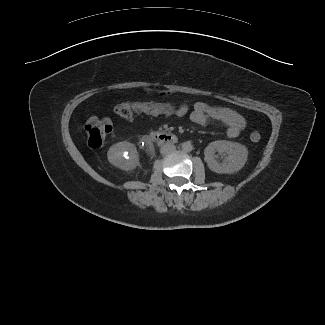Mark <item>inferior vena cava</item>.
<instances>
[{
	"label": "inferior vena cava",
	"mask_w": 325,
	"mask_h": 325,
	"mask_svg": "<svg viewBox=\"0 0 325 325\" xmlns=\"http://www.w3.org/2000/svg\"><path fill=\"white\" fill-rule=\"evenodd\" d=\"M175 150H176V147L173 144H170V143L164 144L161 147V153L163 155H169V154L175 152Z\"/></svg>",
	"instance_id": "inferior-vena-cava-1"
}]
</instances>
